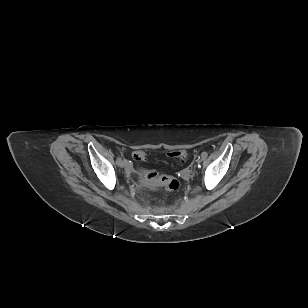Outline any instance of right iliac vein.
<instances>
[{"instance_id":"1","label":"right iliac vein","mask_w":308,"mask_h":308,"mask_svg":"<svg viewBox=\"0 0 308 308\" xmlns=\"http://www.w3.org/2000/svg\"><path fill=\"white\" fill-rule=\"evenodd\" d=\"M118 166L124 168L126 166V162L121 159V161L118 163Z\"/></svg>"}]
</instances>
